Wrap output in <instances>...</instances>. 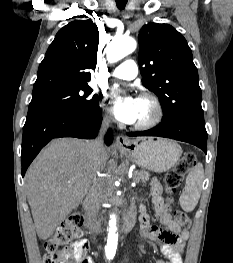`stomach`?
<instances>
[{
  "instance_id": "obj_1",
  "label": "stomach",
  "mask_w": 233,
  "mask_h": 263,
  "mask_svg": "<svg viewBox=\"0 0 233 263\" xmlns=\"http://www.w3.org/2000/svg\"><path fill=\"white\" fill-rule=\"evenodd\" d=\"M119 151L138 166L157 173L172 168L182 154L176 142L154 137L129 140Z\"/></svg>"
}]
</instances>
